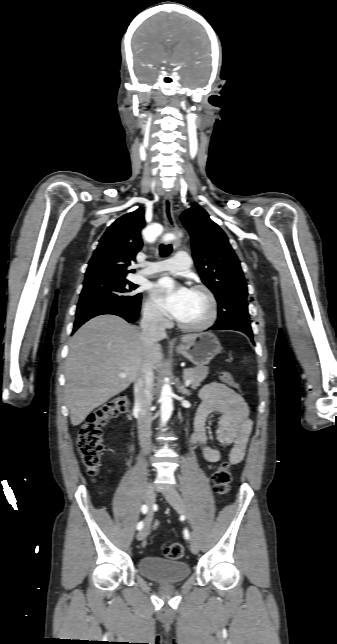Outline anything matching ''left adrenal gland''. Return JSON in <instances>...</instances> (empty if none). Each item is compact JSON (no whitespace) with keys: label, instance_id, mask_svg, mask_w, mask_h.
Listing matches in <instances>:
<instances>
[{"label":"left adrenal gland","instance_id":"obj_1","mask_svg":"<svg viewBox=\"0 0 337 644\" xmlns=\"http://www.w3.org/2000/svg\"><path fill=\"white\" fill-rule=\"evenodd\" d=\"M179 392L187 396L191 394V392L188 389H186L184 385L179 386Z\"/></svg>","mask_w":337,"mask_h":644}]
</instances>
